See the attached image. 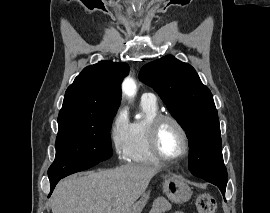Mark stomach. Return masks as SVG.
Listing matches in <instances>:
<instances>
[{
	"mask_svg": "<svg viewBox=\"0 0 270 213\" xmlns=\"http://www.w3.org/2000/svg\"><path fill=\"white\" fill-rule=\"evenodd\" d=\"M160 178L162 179L163 192L170 201L175 203H183L190 199L192 191L184 179L168 172H163L160 175ZM148 198V194L144 195L126 213H141Z\"/></svg>",
	"mask_w": 270,
	"mask_h": 213,
	"instance_id": "1",
	"label": "stomach"
}]
</instances>
